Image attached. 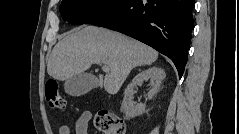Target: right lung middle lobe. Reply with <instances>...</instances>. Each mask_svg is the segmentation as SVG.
Segmentation results:
<instances>
[{
  "instance_id": "obj_1",
  "label": "right lung middle lobe",
  "mask_w": 239,
  "mask_h": 134,
  "mask_svg": "<svg viewBox=\"0 0 239 134\" xmlns=\"http://www.w3.org/2000/svg\"><path fill=\"white\" fill-rule=\"evenodd\" d=\"M119 0H62L60 13L70 24H85Z\"/></svg>"
}]
</instances>
